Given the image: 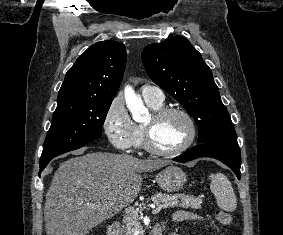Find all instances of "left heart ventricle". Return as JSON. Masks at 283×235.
Wrapping results in <instances>:
<instances>
[{
	"mask_svg": "<svg viewBox=\"0 0 283 235\" xmlns=\"http://www.w3.org/2000/svg\"><path fill=\"white\" fill-rule=\"evenodd\" d=\"M144 125L150 129L154 147L163 151L179 147L188 135L187 122L177 113L168 114L158 121L151 117Z\"/></svg>",
	"mask_w": 283,
	"mask_h": 235,
	"instance_id": "obj_1",
	"label": "left heart ventricle"
}]
</instances>
